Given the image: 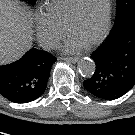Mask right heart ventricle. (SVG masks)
<instances>
[{"label":"right heart ventricle","instance_id":"obj_1","mask_svg":"<svg viewBox=\"0 0 135 135\" xmlns=\"http://www.w3.org/2000/svg\"><path fill=\"white\" fill-rule=\"evenodd\" d=\"M79 0H48L45 15L57 26L64 29L65 23Z\"/></svg>","mask_w":135,"mask_h":135}]
</instances>
